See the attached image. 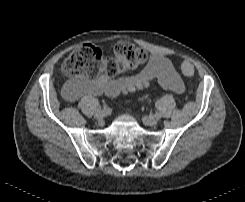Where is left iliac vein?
Listing matches in <instances>:
<instances>
[{
    "mask_svg": "<svg viewBox=\"0 0 245 202\" xmlns=\"http://www.w3.org/2000/svg\"><path fill=\"white\" fill-rule=\"evenodd\" d=\"M142 121L145 125H148V126H154L158 122V120L155 117H151V116L143 117Z\"/></svg>",
    "mask_w": 245,
    "mask_h": 202,
    "instance_id": "obj_1",
    "label": "left iliac vein"
}]
</instances>
